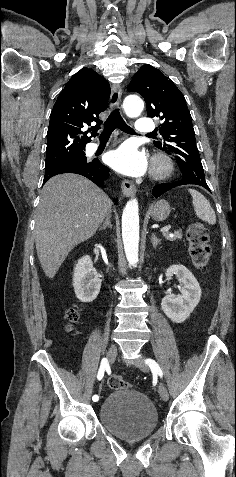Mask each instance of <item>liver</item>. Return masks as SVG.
Wrapping results in <instances>:
<instances>
[{"label": "liver", "instance_id": "liver-1", "mask_svg": "<svg viewBox=\"0 0 236 477\" xmlns=\"http://www.w3.org/2000/svg\"><path fill=\"white\" fill-rule=\"evenodd\" d=\"M109 197L88 179L61 174L42 188L35 244L41 267L53 278L75 246L91 238L111 212Z\"/></svg>", "mask_w": 236, "mask_h": 477}]
</instances>
